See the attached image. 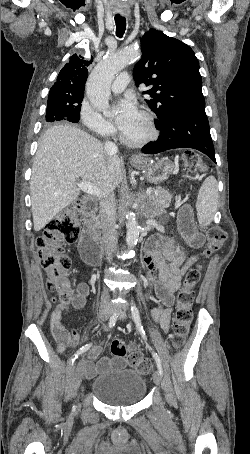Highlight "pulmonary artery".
<instances>
[{
  "instance_id": "e3ab8cb5",
  "label": "pulmonary artery",
  "mask_w": 250,
  "mask_h": 454,
  "mask_svg": "<svg viewBox=\"0 0 250 454\" xmlns=\"http://www.w3.org/2000/svg\"><path fill=\"white\" fill-rule=\"evenodd\" d=\"M130 82V75L128 72L119 74L111 84V90L114 93L122 92Z\"/></svg>"
}]
</instances>
